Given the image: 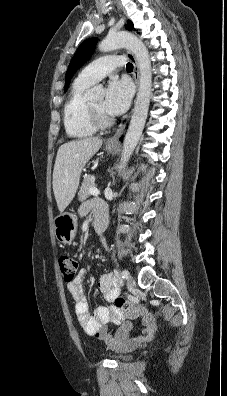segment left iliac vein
Wrapping results in <instances>:
<instances>
[{
    "label": "left iliac vein",
    "instance_id": "1",
    "mask_svg": "<svg viewBox=\"0 0 227 396\" xmlns=\"http://www.w3.org/2000/svg\"><path fill=\"white\" fill-rule=\"evenodd\" d=\"M127 287L130 290H134L136 288V281L131 275H129V277L127 278Z\"/></svg>",
    "mask_w": 227,
    "mask_h": 396
}]
</instances>
